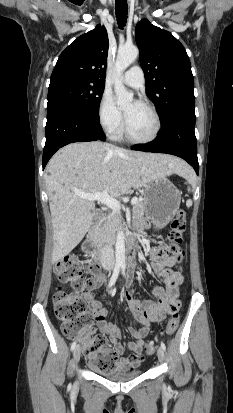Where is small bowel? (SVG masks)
I'll use <instances>...</instances> for the list:
<instances>
[{
	"mask_svg": "<svg viewBox=\"0 0 233 413\" xmlns=\"http://www.w3.org/2000/svg\"><path fill=\"white\" fill-rule=\"evenodd\" d=\"M138 228H145L147 222L139 221ZM152 268L156 275L162 279L165 288L156 287L152 293L155 297L153 302H140L133 298L131 289L122 294V299L130 313L132 321L141 325L139 329L129 328V333L136 341L128 343V348L133 352L129 357H123L124 347L119 342L121 337L120 329L108 320L107 311L95 300L93 291L100 285L101 280L95 279L92 288L84 292V299L93 313L100 330L108 336L109 342L113 345V352L116 355V366L118 370L126 368H136L143 361L144 337L148 334L150 326L154 322H161L166 314L172 313L171 308L180 307L178 300V288L183 282L181 271H174L171 267L175 260L171 257L165 247H156L150 251Z\"/></svg>",
	"mask_w": 233,
	"mask_h": 413,
	"instance_id": "1",
	"label": "small bowel"
}]
</instances>
